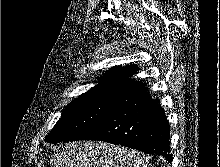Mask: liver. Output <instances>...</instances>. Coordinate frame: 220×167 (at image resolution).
<instances>
[{
    "mask_svg": "<svg viewBox=\"0 0 220 167\" xmlns=\"http://www.w3.org/2000/svg\"><path fill=\"white\" fill-rule=\"evenodd\" d=\"M148 157L138 151L106 142L60 144L50 167H147Z\"/></svg>",
    "mask_w": 220,
    "mask_h": 167,
    "instance_id": "obj_1",
    "label": "liver"
}]
</instances>
